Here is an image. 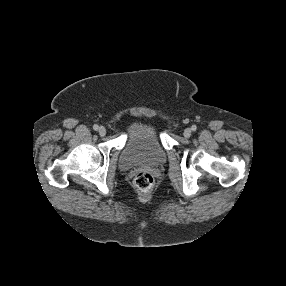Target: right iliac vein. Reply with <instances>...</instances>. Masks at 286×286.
I'll return each mask as SVG.
<instances>
[{
	"label": "right iliac vein",
	"mask_w": 286,
	"mask_h": 286,
	"mask_svg": "<svg viewBox=\"0 0 286 286\" xmlns=\"http://www.w3.org/2000/svg\"><path fill=\"white\" fill-rule=\"evenodd\" d=\"M98 133H99V135L100 136H105V134H106V129L104 128V127H99V129H98Z\"/></svg>",
	"instance_id": "63e3f726"
}]
</instances>
